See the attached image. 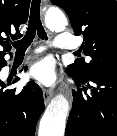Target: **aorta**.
<instances>
[{
	"mask_svg": "<svg viewBox=\"0 0 117 136\" xmlns=\"http://www.w3.org/2000/svg\"><path fill=\"white\" fill-rule=\"evenodd\" d=\"M45 21L47 26L55 31H63L68 25L65 15L59 9H50ZM69 110V103L64 96L55 97L40 120L38 136H64Z\"/></svg>",
	"mask_w": 117,
	"mask_h": 136,
	"instance_id": "762f6f07",
	"label": "aorta"
}]
</instances>
